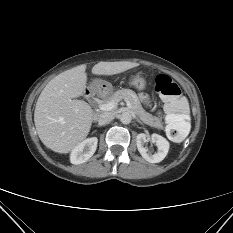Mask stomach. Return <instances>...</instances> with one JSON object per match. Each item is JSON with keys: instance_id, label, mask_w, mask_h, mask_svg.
Segmentation results:
<instances>
[{"instance_id": "0dacf381", "label": "stomach", "mask_w": 233, "mask_h": 233, "mask_svg": "<svg viewBox=\"0 0 233 233\" xmlns=\"http://www.w3.org/2000/svg\"><path fill=\"white\" fill-rule=\"evenodd\" d=\"M94 85L98 87L103 93H109L112 91V85L103 80H94ZM130 84L137 88L138 90H143L146 86V80L140 75L133 76L130 79Z\"/></svg>"}]
</instances>
